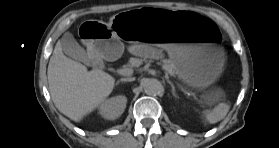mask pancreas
I'll return each mask as SVG.
<instances>
[{
	"label": "pancreas",
	"instance_id": "1",
	"mask_svg": "<svg viewBox=\"0 0 279 148\" xmlns=\"http://www.w3.org/2000/svg\"><path fill=\"white\" fill-rule=\"evenodd\" d=\"M146 62L147 60L145 59H138V58H131L128 66L133 67V66H139L142 62ZM162 65V68L170 75L174 76L176 74V66L175 64L169 60V59H164L160 63Z\"/></svg>",
	"mask_w": 279,
	"mask_h": 148
}]
</instances>
